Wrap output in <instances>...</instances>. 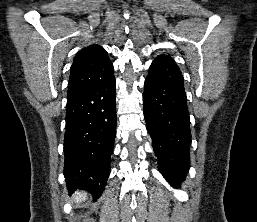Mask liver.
<instances>
[{
    "label": "liver",
    "mask_w": 257,
    "mask_h": 222,
    "mask_svg": "<svg viewBox=\"0 0 257 222\" xmlns=\"http://www.w3.org/2000/svg\"><path fill=\"white\" fill-rule=\"evenodd\" d=\"M86 197H87V195H86V193H84V192H79V193H77V194H75L74 196H73V198H72V200L76 203H78V202H81V201H84V200H86Z\"/></svg>",
    "instance_id": "1"
}]
</instances>
